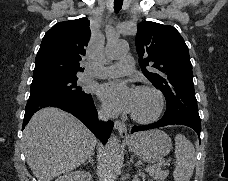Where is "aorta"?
<instances>
[{
    "label": "aorta",
    "mask_w": 228,
    "mask_h": 181,
    "mask_svg": "<svg viewBox=\"0 0 228 181\" xmlns=\"http://www.w3.org/2000/svg\"><path fill=\"white\" fill-rule=\"evenodd\" d=\"M128 51V45L123 40H110L107 43L106 55L109 59H119ZM119 160V140L111 137L106 144V164L107 168L115 171Z\"/></svg>",
    "instance_id": "1"
}]
</instances>
